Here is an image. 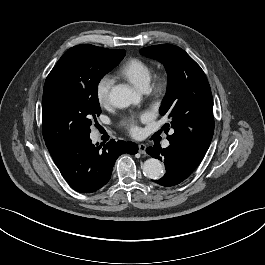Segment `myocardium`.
Instances as JSON below:
<instances>
[{"label": "myocardium", "mask_w": 265, "mask_h": 265, "mask_svg": "<svg viewBox=\"0 0 265 265\" xmlns=\"http://www.w3.org/2000/svg\"><path fill=\"white\" fill-rule=\"evenodd\" d=\"M169 88V77L166 73L157 75L147 88V93L156 100L165 96Z\"/></svg>", "instance_id": "myocardium-1"}]
</instances>
